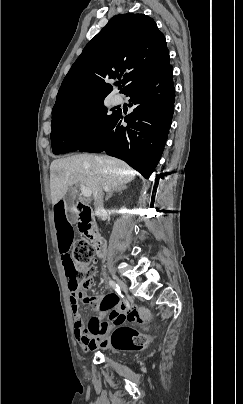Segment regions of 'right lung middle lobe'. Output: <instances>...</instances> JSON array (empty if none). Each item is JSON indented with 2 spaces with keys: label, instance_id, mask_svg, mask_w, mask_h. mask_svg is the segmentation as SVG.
Returning <instances> with one entry per match:
<instances>
[{
  "label": "right lung middle lobe",
  "instance_id": "1",
  "mask_svg": "<svg viewBox=\"0 0 243 404\" xmlns=\"http://www.w3.org/2000/svg\"><path fill=\"white\" fill-rule=\"evenodd\" d=\"M104 98H98L78 107L69 109L52 117V151L63 154L78 150L96 137L115 118L103 105Z\"/></svg>",
  "mask_w": 243,
  "mask_h": 404
}]
</instances>
